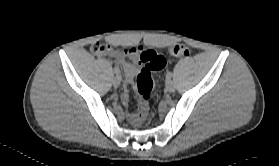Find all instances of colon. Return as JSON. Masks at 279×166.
Returning <instances> with one entry per match:
<instances>
[{"mask_svg":"<svg viewBox=\"0 0 279 166\" xmlns=\"http://www.w3.org/2000/svg\"><path fill=\"white\" fill-rule=\"evenodd\" d=\"M103 48V44L96 43L91 47V51L98 54ZM169 52L173 57L185 58L190 55V47L187 44L179 43L171 46ZM139 58L143 68L136 79V90L139 94V108L136 114L140 120L146 115L148 104L153 96V73L164 67L165 58L154 50L141 52Z\"/></svg>","mask_w":279,"mask_h":166,"instance_id":"colon-1","label":"colon"}]
</instances>
